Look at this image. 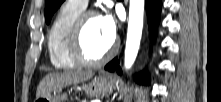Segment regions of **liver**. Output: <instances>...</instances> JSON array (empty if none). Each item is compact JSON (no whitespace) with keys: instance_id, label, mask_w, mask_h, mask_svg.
I'll return each mask as SVG.
<instances>
[{"instance_id":"1","label":"liver","mask_w":221,"mask_h":102,"mask_svg":"<svg viewBox=\"0 0 221 102\" xmlns=\"http://www.w3.org/2000/svg\"><path fill=\"white\" fill-rule=\"evenodd\" d=\"M94 73L91 71H66L63 73L48 74L40 82L36 97H45L52 91L63 88L71 84H77L90 80Z\"/></svg>"}]
</instances>
